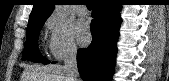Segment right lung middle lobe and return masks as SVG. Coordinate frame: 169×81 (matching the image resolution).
Returning a JSON list of instances; mask_svg holds the SVG:
<instances>
[{
    "label": "right lung middle lobe",
    "instance_id": "1",
    "mask_svg": "<svg viewBox=\"0 0 169 81\" xmlns=\"http://www.w3.org/2000/svg\"><path fill=\"white\" fill-rule=\"evenodd\" d=\"M46 20L37 21L28 24L27 28V39L24 47L23 60H30L33 62L48 64L49 61L44 58L38 49V36L40 30Z\"/></svg>",
    "mask_w": 169,
    "mask_h": 81
}]
</instances>
